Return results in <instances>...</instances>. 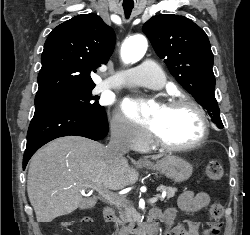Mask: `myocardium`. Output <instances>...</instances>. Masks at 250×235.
Masks as SVG:
<instances>
[{"label": "myocardium", "mask_w": 250, "mask_h": 235, "mask_svg": "<svg viewBox=\"0 0 250 235\" xmlns=\"http://www.w3.org/2000/svg\"><path fill=\"white\" fill-rule=\"evenodd\" d=\"M186 106L193 109L199 119H200V132L198 137L186 144H170L162 140V138L156 133L154 129L151 130V138L153 142L162 150L169 151V152H179V151H188L197 148L200 146L208 136L209 130V121L206 111L203 107L194 99L189 97H178L175 99L170 100L165 104L166 108H177Z\"/></svg>", "instance_id": "myocardium-1"}]
</instances>
